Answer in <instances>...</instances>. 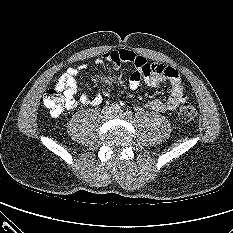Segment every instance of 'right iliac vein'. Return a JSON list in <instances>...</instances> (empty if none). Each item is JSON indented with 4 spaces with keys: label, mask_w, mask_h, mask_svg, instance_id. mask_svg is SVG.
<instances>
[{
    "label": "right iliac vein",
    "mask_w": 233,
    "mask_h": 233,
    "mask_svg": "<svg viewBox=\"0 0 233 233\" xmlns=\"http://www.w3.org/2000/svg\"><path fill=\"white\" fill-rule=\"evenodd\" d=\"M104 118H109L111 116V109L105 108L102 112Z\"/></svg>",
    "instance_id": "obj_1"
}]
</instances>
